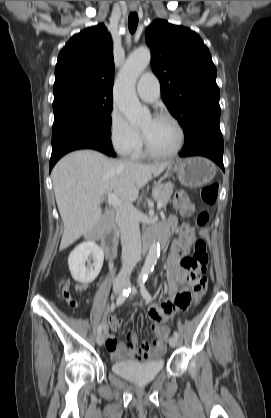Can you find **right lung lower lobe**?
Listing matches in <instances>:
<instances>
[{
    "label": "right lung lower lobe",
    "mask_w": 271,
    "mask_h": 418,
    "mask_svg": "<svg viewBox=\"0 0 271 418\" xmlns=\"http://www.w3.org/2000/svg\"><path fill=\"white\" fill-rule=\"evenodd\" d=\"M111 132L103 128H89L63 134L52 139V155L49 171L65 154L77 149H95L115 157L112 148Z\"/></svg>",
    "instance_id": "1"
}]
</instances>
